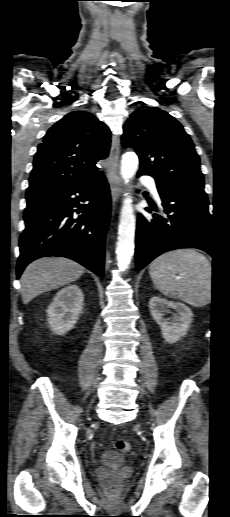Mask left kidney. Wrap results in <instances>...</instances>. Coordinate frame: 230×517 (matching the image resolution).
Segmentation results:
<instances>
[{"label": "left kidney", "instance_id": "obj_1", "mask_svg": "<svg viewBox=\"0 0 230 517\" xmlns=\"http://www.w3.org/2000/svg\"><path fill=\"white\" fill-rule=\"evenodd\" d=\"M149 308L153 319L161 328L163 338L169 343L177 342L192 323V311L183 303L154 296L149 301ZM170 309H174L176 314L171 319L164 318Z\"/></svg>", "mask_w": 230, "mask_h": 517}]
</instances>
